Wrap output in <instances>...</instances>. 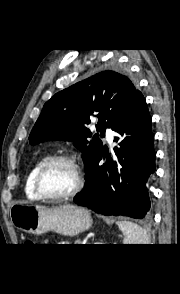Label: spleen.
Returning a JSON list of instances; mask_svg holds the SVG:
<instances>
[{"mask_svg": "<svg viewBox=\"0 0 180 294\" xmlns=\"http://www.w3.org/2000/svg\"><path fill=\"white\" fill-rule=\"evenodd\" d=\"M117 225L124 235L123 244H149L145 229L131 221H118Z\"/></svg>", "mask_w": 180, "mask_h": 294, "instance_id": "spleen-1", "label": "spleen"}]
</instances>
